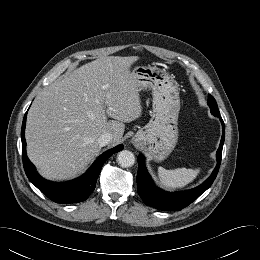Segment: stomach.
I'll use <instances>...</instances> for the list:
<instances>
[{"mask_svg": "<svg viewBox=\"0 0 260 260\" xmlns=\"http://www.w3.org/2000/svg\"><path fill=\"white\" fill-rule=\"evenodd\" d=\"M132 74L139 90L151 89L153 110L147 125L132 138L155 161H163L178 140L179 88L175 79L156 66H136Z\"/></svg>", "mask_w": 260, "mask_h": 260, "instance_id": "stomach-1", "label": "stomach"}]
</instances>
